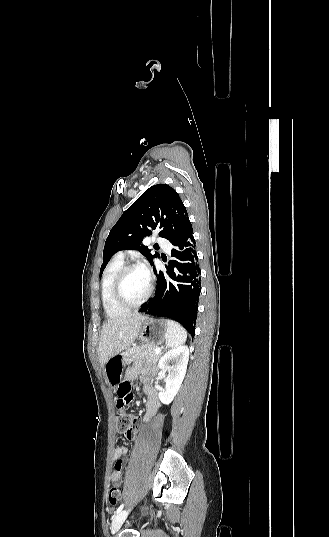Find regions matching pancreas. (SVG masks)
Instances as JSON below:
<instances>
[{
  "label": "pancreas",
  "instance_id": "cf45deb5",
  "mask_svg": "<svg viewBox=\"0 0 329 537\" xmlns=\"http://www.w3.org/2000/svg\"><path fill=\"white\" fill-rule=\"evenodd\" d=\"M155 346L153 345H142L139 347H133L124 352V363H132L134 361H157L161 353L155 352Z\"/></svg>",
  "mask_w": 329,
  "mask_h": 537
}]
</instances>
